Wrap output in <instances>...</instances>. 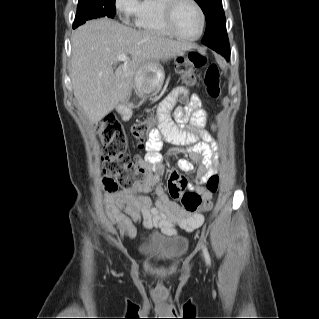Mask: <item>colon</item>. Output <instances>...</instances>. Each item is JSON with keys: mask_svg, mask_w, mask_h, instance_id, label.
<instances>
[{"mask_svg": "<svg viewBox=\"0 0 319 319\" xmlns=\"http://www.w3.org/2000/svg\"><path fill=\"white\" fill-rule=\"evenodd\" d=\"M206 64L204 56L196 51H190L177 60V69L182 81L187 85H193L196 81L194 70ZM206 94L211 98H217L220 93V70L214 63L210 64L205 72L203 81ZM155 129V121L146 119L132 128L135 139L140 143L148 142L147 135ZM100 142L102 145L104 184L108 192H113L119 187H130L135 180L141 179L145 168L140 158H132L126 151L127 134L123 125L118 120H109L98 127ZM154 146L160 149L159 144ZM188 180L177 173L170 176L167 188L170 195L178 200L182 207L189 212L196 211L201 206V195L193 190H185ZM206 189L216 194L219 189V179L212 176L206 182ZM209 203L205 208H209Z\"/></svg>", "mask_w": 319, "mask_h": 319, "instance_id": "colon-1", "label": "colon"}]
</instances>
